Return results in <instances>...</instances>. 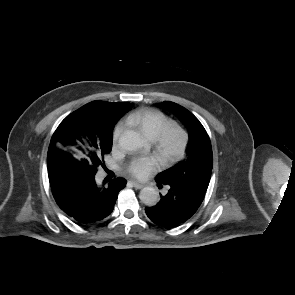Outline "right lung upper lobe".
<instances>
[{
  "label": "right lung upper lobe",
  "mask_w": 295,
  "mask_h": 295,
  "mask_svg": "<svg viewBox=\"0 0 295 295\" xmlns=\"http://www.w3.org/2000/svg\"><path fill=\"white\" fill-rule=\"evenodd\" d=\"M132 107L126 102H105L92 101L75 112L67 116L54 132L49 150L47 160L55 154L59 153L64 157L70 159L74 164H84L85 158H79V150H82L84 143H90V140L95 137L96 140L105 138L110 128H114L121 116ZM82 120L86 125L85 131L77 132L73 144L68 141V137L74 132L75 119ZM80 138L81 142L77 140ZM81 156V155H80Z\"/></svg>",
  "instance_id": "1"
}]
</instances>
